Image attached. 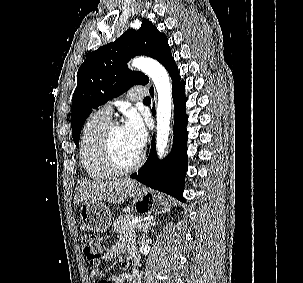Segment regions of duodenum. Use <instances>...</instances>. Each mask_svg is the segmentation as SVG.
I'll list each match as a JSON object with an SVG mask.
<instances>
[{
	"label": "duodenum",
	"instance_id": "410a0bca",
	"mask_svg": "<svg viewBox=\"0 0 303 283\" xmlns=\"http://www.w3.org/2000/svg\"><path fill=\"white\" fill-rule=\"evenodd\" d=\"M135 272H138V271H135ZM131 283H139V280L137 279L136 274H134V277H133Z\"/></svg>",
	"mask_w": 303,
	"mask_h": 283
}]
</instances>
